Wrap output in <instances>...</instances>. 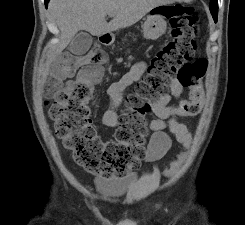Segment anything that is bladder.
Segmentation results:
<instances>
[{
    "mask_svg": "<svg viewBox=\"0 0 245 225\" xmlns=\"http://www.w3.org/2000/svg\"><path fill=\"white\" fill-rule=\"evenodd\" d=\"M137 180V174H133L127 183H122L121 180H97L100 189L106 191L107 194L113 196L124 195L130 186Z\"/></svg>",
    "mask_w": 245,
    "mask_h": 225,
    "instance_id": "1",
    "label": "bladder"
}]
</instances>
